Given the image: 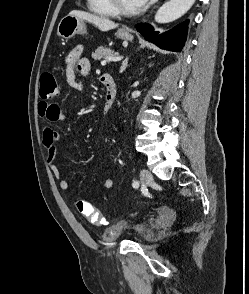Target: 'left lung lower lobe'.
<instances>
[{"label": "left lung lower lobe", "mask_w": 249, "mask_h": 294, "mask_svg": "<svg viewBox=\"0 0 249 294\" xmlns=\"http://www.w3.org/2000/svg\"><path fill=\"white\" fill-rule=\"evenodd\" d=\"M187 24L188 20L165 33L154 32L152 26L147 23L138 25L137 30L145 36L146 40L155 43L160 48L181 51L186 40Z\"/></svg>", "instance_id": "0a47b994"}]
</instances>
